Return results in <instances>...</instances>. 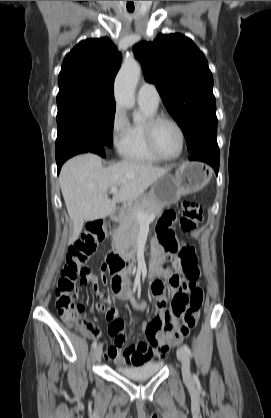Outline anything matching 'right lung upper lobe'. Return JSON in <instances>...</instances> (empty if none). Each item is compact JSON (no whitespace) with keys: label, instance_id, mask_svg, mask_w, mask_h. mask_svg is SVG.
I'll list each match as a JSON object with an SVG mask.
<instances>
[{"label":"right lung upper lobe","instance_id":"right-lung-upper-lobe-1","mask_svg":"<svg viewBox=\"0 0 271 418\" xmlns=\"http://www.w3.org/2000/svg\"><path fill=\"white\" fill-rule=\"evenodd\" d=\"M121 60L107 37L81 41L63 61L57 103L83 100L115 104L113 83Z\"/></svg>","mask_w":271,"mask_h":418}]
</instances>
